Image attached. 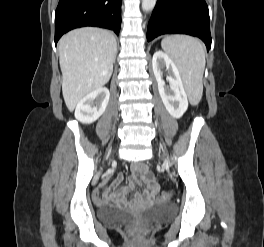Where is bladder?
I'll return each mask as SVG.
<instances>
[{
	"mask_svg": "<svg viewBox=\"0 0 264 247\" xmlns=\"http://www.w3.org/2000/svg\"><path fill=\"white\" fill-rule=\"evenodd\" d=\"M169 216L170 210L162 207H152L138 211L104 207L98 211V220L111 225L151 224L163 221Z\"/></svg>",
	"mask_w": 264,
	"mask_h": 247,
	"instance_id": "31cf9c89",
	"label": "bladder"
}]
</instances>
